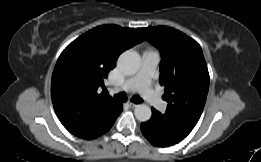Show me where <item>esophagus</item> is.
<instances>
[{
    "label": "esophagus",
    "mask_w": 261,
    "mask_h": 162,
    "mask_svg": "<svg viewBox=\"0 0 261 162\" xmlns=\"http://www.w3.org/2000/svg\"><path fill=\"white\" fill-rule=\"evenodd\" d=\"M128 105H129L131 108H135V107L138 106V104L132 103V102H128Z\"/></svg>",
    "instance_id": "1"
}]
</instances>
